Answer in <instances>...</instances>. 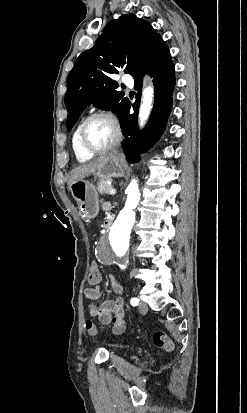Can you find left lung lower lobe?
Segmentation results:
<instances>
[{"mask_svg":"<svg viewBox=\"0 0 247 413\" xmlns=\"http://www.w3.org/2000/svg\"><path fill=\"white\" fill-rule=\"evenodd\" d=\"M145 72L153 77L155 88V102L150 120L143 133L137 130V114L140 103L142 79ZM136 94V101L132 107L134 114H129L131 103L125 112V117L121 123L123 135L128 137L123 142L127 159L135 162L139 160L138 153H143L156 142L162 135L169 114L172 109V95L175 88V69L168 47L157 51L144 69L133 77Z\"/></svg>","mask_w":247,"mask_h":413,"instance_id":"1","label":"left lung lower lobe"}]
</instances>
